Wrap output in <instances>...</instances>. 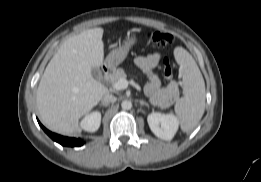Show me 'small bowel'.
<instances>
[{"label": "small bowel", "mask_w": 261, "mask_h": 182, "mask_svg": "<svg viewBox=\"0 0 261 182\" xmlns=\"http://www.w3.org/2000/svg\"><path fill=\"white\" fill-rule=\"evenodd\" d=\"M161 58L162 55L155 52L145 56H138L135 59L136 66L146 75L148 79L145 86V93L148 97H154L160 88V80L154 74L153 70L158 66Z\"/></svg>", "instance_id": "small-bowel-1"}]
</instances>
